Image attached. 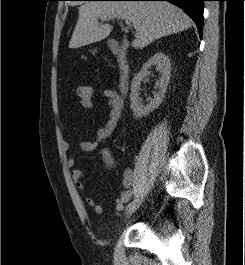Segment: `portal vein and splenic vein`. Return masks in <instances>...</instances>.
Returning a JSON list of instances; mask_svg holds the SVG:
<instances>
[{"mask_svg": "<svg viewBox=\"0 0 245 265\" xmlns=\"http://www.w3.org/2000/svg\"><path fill=\"white\" fill-rule=\"evenodd\" d=\"M102 20H107V19H112V17H107V16H102L101 17ZM125 23L129 26L130 25V21L126 20Z\"/></svg>", "mask_w": 245, "mask_h": 265, "instance_id": "1", "label": "portal vein and splenic vein"}]
</instances>
